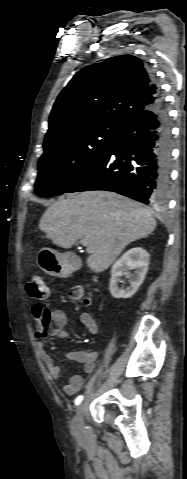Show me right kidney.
I'll use <instances>...</instances> for the list:
<instances>
[{
    "label": "right kidney",
    "instance_id": "ca27d5eb",
    "mask_svg": "<svg viewBox=\"0 0 187 479\" xmlns=\"http://www.w3.org/2000/svg\"><path fill=\"white\" fill-rule=\"evenodd\" d=\"M150 255L141 248L136 247L125 252L112 266L109 290L111 295L116 298L132 297L143 283L148 271ZM129 270H134L130 273ZM125 275L130 280V287L123 289L118 286L121 277Z\"/></svg>",
    "mask_w": 187,
    "mask_h": 479
}]
</instances>
